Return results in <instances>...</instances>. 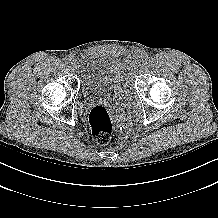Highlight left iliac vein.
Returning a JSON list of instances; mask_svg holds the SVG:
<instances>
[{
	"mask_svg": "<svg viewBox=\"0 0 218 218\" xmlns=\"http://www.w3.org/2000/svg\"><path fill=\"white\" fill-rule=\"evenodd\" d=\"M141 62H142V61H141ZM139 63H140V62H138L137 64H136V63H133V64H132V67L135 68V69H136L137 67H140V66H139Z\"/></svg>",
	"mask_w": 218,
	"mask_h": 218,
	"instance_id": "4c4485c4",
	"label": "left iliac vein"
}]
</instances>
